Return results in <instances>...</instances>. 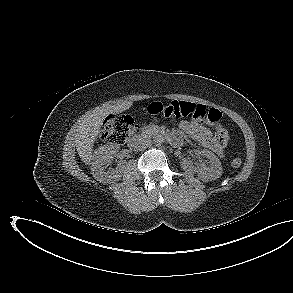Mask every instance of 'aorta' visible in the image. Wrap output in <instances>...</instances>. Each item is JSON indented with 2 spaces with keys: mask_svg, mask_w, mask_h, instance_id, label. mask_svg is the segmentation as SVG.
Masks as SVG:
<instances>
[{
  "mask_svg": "<svg viewBox=\"0 0 293 293\" xmlns=\"http://www.w3.org/2000/svg\"><path fill=\"white\" fill-rule=\"evenodd\" d=\"M163 142H164V138H163L162 136H157V137H155V139H154V143H155L157 146H160Z\"/></svg>",
  "mask_w": 293,
  "mask_h": 293,
  "instance_id": "aorta-1",
  "label": "aorta"
}]
</instances>
